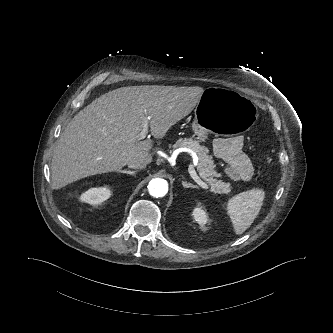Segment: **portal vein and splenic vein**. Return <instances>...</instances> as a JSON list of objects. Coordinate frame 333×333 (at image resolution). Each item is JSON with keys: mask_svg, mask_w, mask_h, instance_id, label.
Wrapping results in <instances>:
<instances>
[{"mask_svg": "<svg viewBox=\"0 0 333 333\" xmlns=\"http://www.w3.org/2000/svg\"><path fill=\"white\" fill-rule=\"evenodd\" d=\"M148 121H149V117H145L143 120H142V127H141V131L138 135V141L140 140H143L147 133H148ZM198 162V159H197V156H194L193 157V164H191L189 166V173L191 175V177L194 179V181L202 188L204 189H208V185L203 182L200 177L197 175V173L195 172V169H194V165H196Z\"/></svg>", "mask_w": 333, "mask_h": 333, "instance_id": "portal-vein-and-splenic-vein-1", "label": "portal vein and splenic vein"}]
</instances>
